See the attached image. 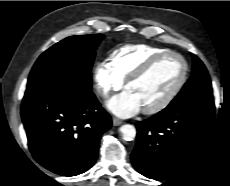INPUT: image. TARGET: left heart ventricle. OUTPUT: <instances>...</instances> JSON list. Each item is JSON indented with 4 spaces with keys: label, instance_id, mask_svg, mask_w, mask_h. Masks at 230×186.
<instances>
[{
    "label": "left heart ventricle",
    "instance_id": "left-heart-ventricle-1",
    "mask_svg": "<svg viewBox=\"0 0 230 186\" xmlns=\"http://www.w3.org/2000/svg\"><path fill=\"white\" fill-rule=\"evenodd\" d=\"M183 72L182 62L168 56L158 63L141 79L129 84L127 90L135 94L142 109L161 101L178 83Z\"/></svg>",
    "mask_w": 230,
    "mask_h": 186
}]
</instances>
